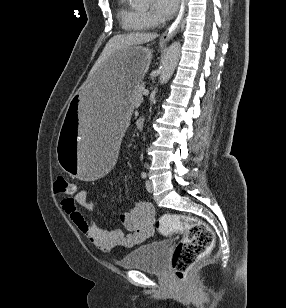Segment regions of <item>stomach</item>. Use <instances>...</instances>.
<instances>
[{
    "instance_id": "1",
    "label": "stomach",
    "mask_w": 286,
    "mask_h": 308,
    "mask_svg": "<svg viewBox=\"0 0 286 308\" xmlns=\"http://www.w3.org/2000/svg\"><path fill=\"white\" fill-rule=\"evenodd\" d=\"M151 58L148 48L128 44L107 60H100V67L69 100L57 161L77 182H100L114 168L121 125H129L133 91Z\"/></svg>"
}]
</instances>
